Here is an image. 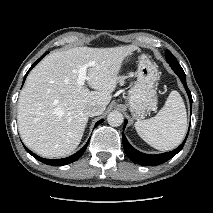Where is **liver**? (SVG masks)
I'll return each instance as SVG.
<instances>
[{
    "instance_id": "6515ba94",
    "label": "liver",
    "mask_w": 213,
    "mask_h": 213,
    "mask_svg": "<svg viewBox=\"0 0 213 213\" xmlns=\"http://www.w3.org/2000/svg\"><path fill=\"white\" fill-rule=\"evenodd\" d=\"M135 46L78 47L45 57L28 75L18 100V129L24 144L45 158H60L79 145L95 103L111 101L124 59ZM87 84L78 85V69L88 63Z\"/></svg>"
}]
</instances>
